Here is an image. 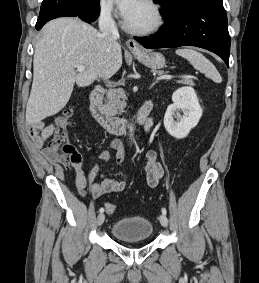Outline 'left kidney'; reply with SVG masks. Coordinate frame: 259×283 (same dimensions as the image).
Masks as SVG:
<instances>
[{
	"label": "left kidney",
	"mask_w": 259,
	"mask_h": 283,
	"mask_svg": "<svg viewBox=\"0 0 259 283\" xmlns=\"http://www.w3.org/2000/svg\"><path fill=\"white\" fill-rule=\"evenodd\" d=\"M172 100L173 104L167 108L164 116V126L171 136L183 139L198 124L202 116V108L192 87L177 89L172 95ZM180 110L183 116L178 113ZM175 114L179 119L178 122L174 120Z\"/></svg>",
	"instance_id": "5707ae66"
}]
</instances>
